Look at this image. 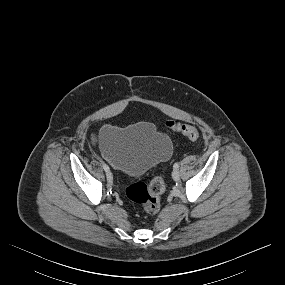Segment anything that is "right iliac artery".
<instances>
[{
	"instance_id": "1",
	"label": "right iliac artery",
	"mask_w": 285,
	"mask_h": 285,
	"mask_svg": "<svg viewBox=\"0 0 285 285\" xmlns=\"http://www.w3.org/2000/svg\"><path fill=\"white\" fill-rule=\"evenodd\" d=\"M102 167L105 171H109V167L107 164L103 163Z\"/></svg>"
}]
</instances>
